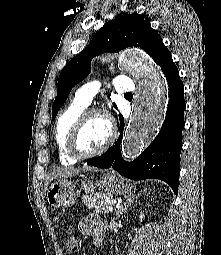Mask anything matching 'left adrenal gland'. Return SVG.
Masks as SVG:
<instances>
[{"instance_id":"obj_1","label":"left adrenal gland","mask_w":221,"mask_h":255,"mask_svg":"<svg viewBox=\"0 0 221 255\" xmlns=\"http://www.w3.org/2000/svg\"><path fill=\"white\" fill-rule=\"evenodd\" d=\"M140 195L141 192L127 198L126 201L123 204H121V206L115 211L116 219H118L121 216V214L126 213L128 208L132 206V204L135 202V200L139 198Z\"/></svg>"}]
</instances>
